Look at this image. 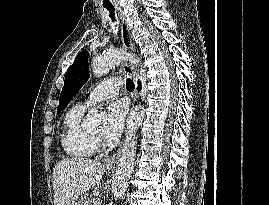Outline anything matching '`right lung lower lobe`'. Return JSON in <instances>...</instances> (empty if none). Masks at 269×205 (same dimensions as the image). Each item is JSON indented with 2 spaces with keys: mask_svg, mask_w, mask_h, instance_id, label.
I'll use <instances>...</instances> for the list:
<instances>
[{
  "mask_svg": "<svg viewBox=\"0 0 269 205\" xmlns=\"http://www.w3.org/2000/svg\"><path fill=\"white\" fill-rule=\"evenodd\" d=\"M140 89V84H139V87H138V90Z\"/></svg>",
  "mask_w": 269,
  "mask_h": 205,
  "instance_id": "right-lung-lower-lobe-1",
  "label": "right lung lower lobe"
}]
</instances>
